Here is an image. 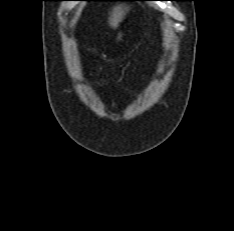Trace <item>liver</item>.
Returning a JSON list of instances; mask_svg holds the SVG:
<instances>
[{
	"instance_id": "obj_1",
	"label": "liver",
	"mask_w": 234,
	"mask_h": 231,
	"mask_svg": "<svg viewBox=\"0 0 234 231\" xmlns=\"http://www.w3.org/2000/svg\"><path fill=\"white\" fill-rule=\"evenodd\" d=\"M125 15V11L122 8V6H117L113 9V12L111 14V18H110V25L113 28H117L119 22L122 21L123 17Z\"/></svg>"
}]
</instances>
